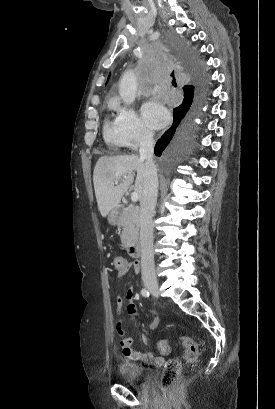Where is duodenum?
<instances>
[{
    "label": "duodenum",
    "mask_w": 275,
    "mask_h": 409,
    "mask_svg": "<svg viewBox=\"0 0 275 409\" xmlns=\"http://www.w3.org/2000/svg\"><path fill=\"white\" fill-rule=\"evenodd\" d=\"M128 252L133 258H139L141 256L142 248L139 240H134L129 243Z\"/></svg>",
    "instance_id": "1"
}]
</instances>
